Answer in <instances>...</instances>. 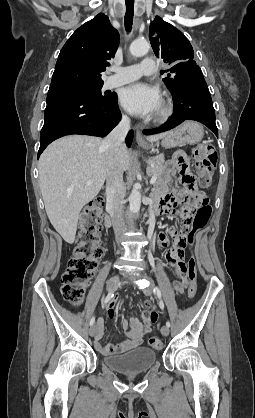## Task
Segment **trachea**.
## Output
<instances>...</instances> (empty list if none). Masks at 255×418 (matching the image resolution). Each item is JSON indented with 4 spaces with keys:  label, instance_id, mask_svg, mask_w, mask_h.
I'll return each instance as SVG.
<instances>
[{
    "label": "trachea",
    "instance_id": "obj_1",
    "mask_svg": "<svg viewBox=\"0 0 255 418\" xmlns=\"http://www.w3.org/2000/svg\"><path fill=\"white\" fill-rule=\"evenodd\" d=\"M134 16V0H126V13H125V28L127 32H130L132 29Z\"/></svg>",
    "mask_w": 255,
    "mask_h": 418
}]
</instances>
